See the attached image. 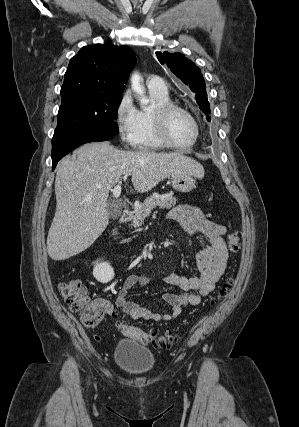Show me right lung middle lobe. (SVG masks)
Here are the masks:
<instances>
[{
  "label": "right lung middle lobe",
  "instance_id": "dd1d6c3e",
  "mask_svg": "<svg viewBox=\"0 0 299 427\" xmlns=\"http://www.w3.org/2000/svg\"><path fill=\"white\" fill-rule=\"evenodd\" d=\"M121 95L84 93L62 99L52 144L80 135L118 134Z\"/></svg>",
  "mask_w": 299,
  "mask_h": 427
}]
</instances>
